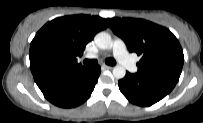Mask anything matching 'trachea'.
Listing matches in <instances>:
<instances>
[{
  "label": "trachea",
  "instance_id": "3493384b",
  "mask_svg": "<svg viewBox=\"0 0 203 123\" xmlns=\"http://www.w3.org/2000/svg\"><path fill=\"white\" fill-rule=\"evenodd\" d=\"M105 62H106V64L111 65V66L116 64V61L113 58H108V59L105 60ZM83 63L86 66H94L95 64H97V60H88V59H86V60H84Z\"/></svg>",
  "mask_w": 203,
  "mask_h": 123
}]
</instances>
